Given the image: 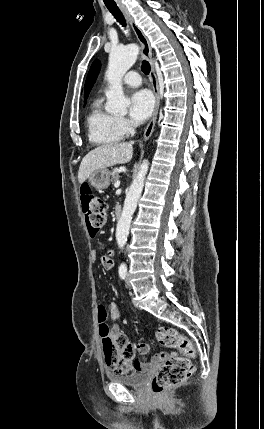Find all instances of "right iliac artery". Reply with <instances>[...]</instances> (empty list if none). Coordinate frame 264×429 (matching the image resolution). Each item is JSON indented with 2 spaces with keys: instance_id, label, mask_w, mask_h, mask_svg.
<instances>
[{
  "instance_id": "right-iliac-artery-1",
  "label": "right iliac artery",
  "mask_w": 264,
  "mask_h": 429,
  "mask_svg": "<svg viewBox=\"0 0 264 429\" xmlns=\"http://www.w3.org/2000/svg\"><path fill=\"white\" fill-rule=\"evenodd\" d=\"M126 275H127V269L124 268V267L119 268V276H120V278L124 280L126 278Z\"/></svg>"
}]
</instances>
